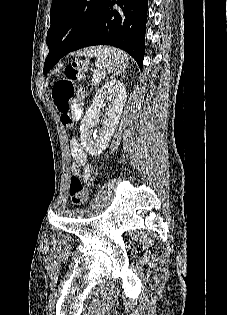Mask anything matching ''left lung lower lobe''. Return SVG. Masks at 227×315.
<instances>
[{
	"label": "left lung lower lobe",
	"mask_w": 227,
	"mask_h": 315,
	"mask_svg": "<svg viewBox=\"0 0 227 315\" xmlns=\"http://www.w3.org/2000/svg\"><path fill=\"white\" fill-rule=\"evenodd\" d=\"M148 0H107L86 34L74 45L54 37L47 41L49 54L44 64L47 73L69 52L94 45H110L129 53L140 69L143 66ZM121 9L117 10L114 5Z\"/></svg>",
	"instance_id": "obj_1"
}]
</instances>
